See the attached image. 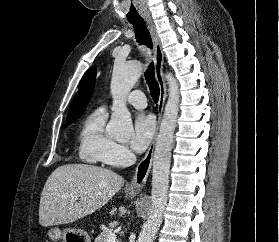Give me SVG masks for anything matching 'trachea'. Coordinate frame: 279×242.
<instances>
[{
  "label": "trachea",
  "mask_w": 279,
  "mask_h": 242,
  "mask_svg": "<svg viewBox=\"0 0 279 242\" xmlns=\"http://www.w3.org/2000/svg\"><path fill=\"white\" fill-rule=\"evenodd\" d=\"M135 31V36L137 39V42L140 43V45H145L146 47L152 49V40L150 33L144 23L143 20H137V21H129ZM145 79L150 89V94L155 102H158L159 95H160V89L158 82L155 79V72H154V65L153 63H150L147 70L145 71Z\"/></svg>",
  "instance_id": "obj_1"
}]
</instances>
